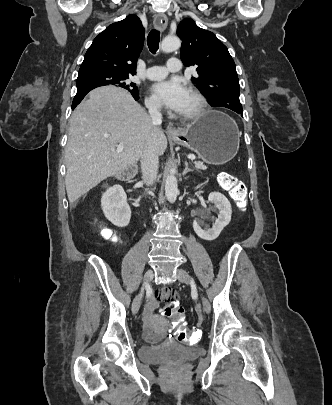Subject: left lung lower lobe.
I'll return each mask as SVG.
<instances>
[{
    "instance_id": "1",
    "label": "left lung lower lobe",
    "mask_w": 332,
    "mask_h": 405,
    "mask_svg": "<svg viewBox=\"0 0 332 405\" xmlns=\"http://www.w3.org/2000/svg\"><path fill=\"white\" fill-rule=\"evenodd\" d=\"M235 112L240 113V114H243V110H242V108H241V109L236 110Z\"/></svg>"
}]
</instances>
